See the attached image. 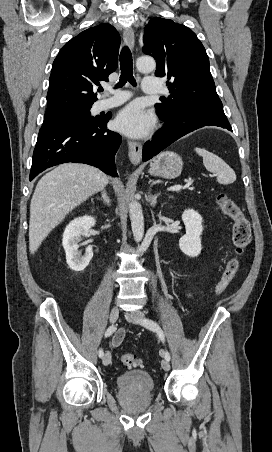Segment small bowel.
<instances>
[{
  "instance_id": "1",
  "label": "small bowel",
  "mask_w": 272,
  "mask_h": 452,
  "mask_svg": "<svg viewBox=\"0 0 272 452\" xmlns=\"http://www.w3.org/2000/svg\"><path fill=\"white\" fill-rule=\"evenodd\" d=\"M185 295L188 297V298H191L192 297V295H191V293L190 292H186L185 293ZM125 330L124 329H120V330H118L116 333H115V335L113 336V339H112V346L113 347H119L120 345H121V343L123 342V339H124V337H125Z\"/></svg>"
}]
</instances>
